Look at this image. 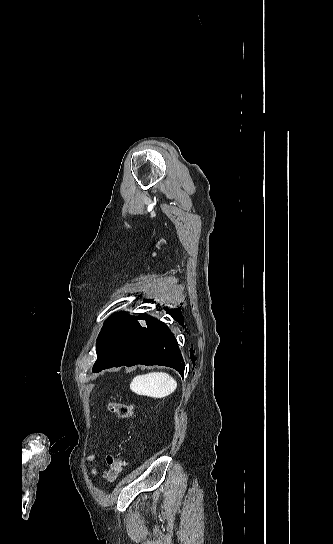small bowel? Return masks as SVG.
<instances>
[{"mask_svg": "<svg viewBox=\"0 0 333 544\" xmlns=\"http://www.w3.org/2000/svg\"><path fill=\"white\" fill-rule=\"evenodd\" d=\"M88 461H89L90 463H92L91 474H92V475H95V474L97 473V465H98V463H97V461H96L95 455H90V456L88 457Z\"/></svg>", "mask_w": 333, "mask_h": 544, "instance_id": "small-bowel-1", "label": "small bowel"}]
</instances>
